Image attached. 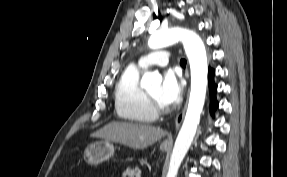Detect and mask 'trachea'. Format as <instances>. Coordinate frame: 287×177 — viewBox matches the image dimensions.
Returning <instances> with one entry per match:
<instances>
[{
    "instance_id": "trachea-1",
    "label": "trachea",
    "mask_w": 287,
    "mask_h": 177,
    "mask_svg": "<svg viewBox=\"0 0 287 177\" xmlns=\"http://www.w3.org/2000/svg\"><path fill=\"white\" fill-rule=\"evenodd\" d=\"M180 64H181L182 66H185V65H186V60H185V59H181V60H180Z\"/></svg>"
}]
</instances>
